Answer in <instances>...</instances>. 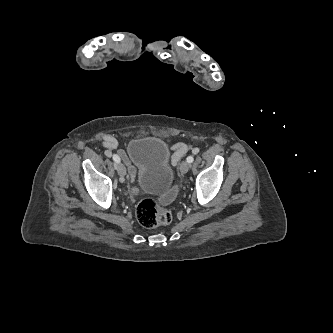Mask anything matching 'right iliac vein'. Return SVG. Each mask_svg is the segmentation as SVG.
<instances>
[{
	"instance_id": "obj_1",
	"label": "right iliac vein",
	"mask_w": 333,
	"mask_h": 333,
	"mask_svg": "<svg viewBox=\"0 0 333 333\" xmlns=\"http://www.w3.org/2000/svg\"><path fill=\"white\" fill-rule=\"evenodd\" d=\"M116 170L121 177V181H124V176L126 175V168L122 163H117Z\"/></svg>"
}]
</instances>
